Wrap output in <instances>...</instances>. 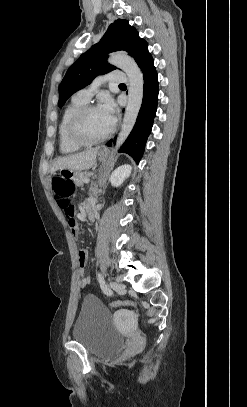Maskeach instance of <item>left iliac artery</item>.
I'll list each match as a JSON object with an SVG mask.
<instances>
[{
	"label": "left iliac artery",
	"mask_w": 247,
	"mask_h": 407,
	"mask_svg": "<svg viewBox=\"0 0 247 407\" xmlns=\"http://www.w3.org/2000/svg\"><path fill=\"white\" fill-rule=\"evenodd\" d=\"M97 276L102 291L107 295H111L112 291L107 287L104 276L100 272H98Z\"/></svg>",
	"instance_id": "left-iliac-artery-1"
}]
</instances>
